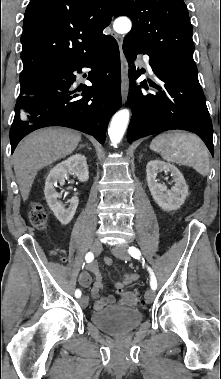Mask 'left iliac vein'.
Instances as JSON below:
<instances>
[{"mask_svg":"<svg viewBox=\"0 0 221 379\" xmlns=\"http://www.w3.org/2000/svg\"><path fill=\"white\" fill-rule=\"evenodd\" d=\"M127 249H128V245L127 244H120V245H117L116 247H114L112 249V253L117 258H120V259H123V260H129L130 256L128 255ZM154 299H155V292H154V290L153 289L147 290L146 293H145V301H146V303H148V304L152 303Z\"/></svg>","mask_w":221,"mask_h":379,"instance_id":"obj_1","label":"left iliac vein"}]
</instances>
